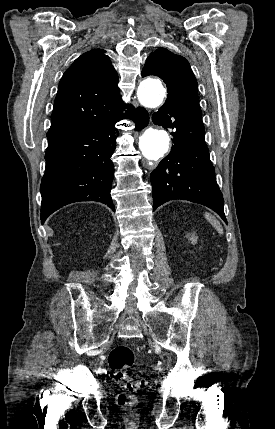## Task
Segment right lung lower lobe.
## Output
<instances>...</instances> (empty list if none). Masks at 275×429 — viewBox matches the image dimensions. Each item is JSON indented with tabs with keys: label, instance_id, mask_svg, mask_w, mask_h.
I'll use <instances>...</instances> for the list:
<instances>
[{
	"label": "right lung lower lobe",
	"instance_id": "obj_1",
	"mask_svg": "<svg viewBox=\"0 0 275 429\" xmlns=\"http://www.w3.org/2000/svg\"><path fill=\"white\" fill-rule=\"evenodd\" d=\"M127 117L141 130L149 115L144 108L129 106ZM123 114L102 123L78 128L48 139L46 172L41 182V222L64 205L77 201H97L114 210L110 195L114 176L111 156L116 147L115 123Z\"/></svg>",
	"mask_w": 275,
	"mask_h": 429
}]
</instances>
